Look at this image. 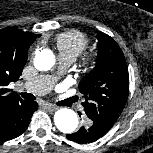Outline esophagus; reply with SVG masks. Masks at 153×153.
<instances>
[{"label":"esophagus","mask_w":153,"mask_h":153,"mask_svg":"<svg viewBox=\"0 0 153 153\" xmlns=\"http://www.w3.org/2000/svg\"><path fill=\"white\" fill-rule=\"evenodd\" d=\"M45 107L47 108V110H49V111H51V112H53V111H55V110L58 109L57 106L52 105V104H45Z\"/></svg>","instance_id":"obj_1"}]
</instances>
